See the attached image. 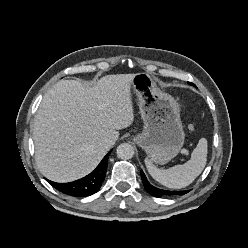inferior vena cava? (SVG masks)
<instances>
[{"instance_id":"602c4592","label":"inferior vena cava","mask_w":248,"mask_h":248,"mask_svg":"<svg viewBox=\"0 0 248 248\" xmlns=\"http://www.w3.org/2000/svg\"><path fill=\"white\" fill-rule=\"evenodd\" d=\"M114 144V141L110 138H107L103 141V145L106 147H111Z\"/></svg>"}]
</instances>
